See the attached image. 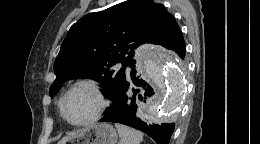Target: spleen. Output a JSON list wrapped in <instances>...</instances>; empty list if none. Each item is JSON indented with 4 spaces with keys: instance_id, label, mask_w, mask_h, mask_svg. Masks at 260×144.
Masks as SVG:
<instances>
[{
    "instance_id": "3e777b00",
    "label": "spleen",
    "mask_w": 260,
    "mask_h": 144,
    "mask_svg": "<svg viewBox=\"0 0 260 144\" xmlns=\"http://www.w3.org/2000/svg\"><path fill=\"white\" fill-rule=\"evenodd\" d=\"M116 129L120 136L119 144H140L143 140V134L128 126L116 123Z\"/></svg>"
}]
</instances>
